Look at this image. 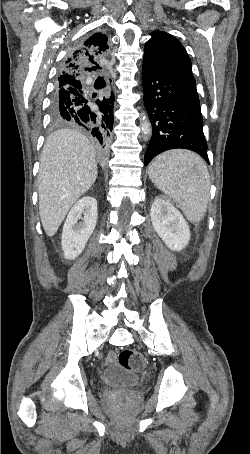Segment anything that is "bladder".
Instances as JSON below:
<instances>
[{
	"mask_svg": "<svg viewBox=\"0 0 250 454\" xmlns=\"http://www.w3.org/2000/svg\"><path fill=\"white\" fill-rule=\"evenodd\" d=\"M142 380L140 374L132 373L122 365L107 366L98 376V384L112 389H128L137 386Z\"/></svg>",
	"mask_w": 250,
	"mask_h": 454,
	"instance_id": "obj_1",
	"label": "bladder"
}]
</instances>
